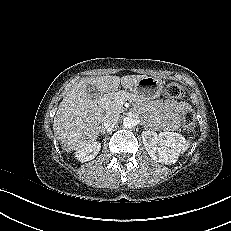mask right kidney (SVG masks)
I'll return each mask as SVG.
<instances>
[{
	"label": "right kidney",
	"instance_id": "obj_1",
	"mask_svg": "<svg viewBox=\"0 0 231 231\" xmlns=\"http://www.w3.org/2000/svg\"><path fill=\"white\" fill-rule=\"evenodd\" d=\"M100 149L101 143L98 141H94L92 143L87 144L83 148L78 149L75 152V157L80 162H87L94 159L98 155Z\"/></svg>",
	"mask_w": 231,
	"mask_h": 231
}]
</instances>
